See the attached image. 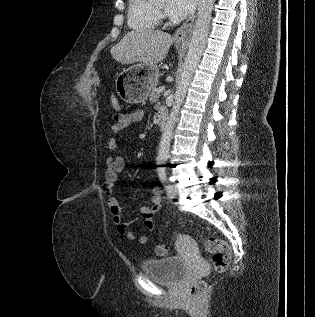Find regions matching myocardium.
I'll return each instance as SVG.
<instances>
[{
	"mask_svg": "<svg viewBox=\"0 0 315 317\" xmlns=\"http://www.w3.org/2000/svg\"><path fill=\"white\" fill-rule=\"evenodd\" d=\"M156 9H157L158 13H159L160 15H162V10H161L160 8H156Z\"/></svg>",
	"mask_w": 315,
	"mask_h": 317,
	"instance_id": "obj_1",
	"label": "myocardium"
}]
</instances>
